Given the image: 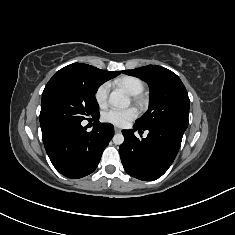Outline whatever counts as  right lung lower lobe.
Masks as SVG:
<instances>
[{"instance_id":"98d812e1","label":"right lung lower lobe","mask_w":235,"mask_h":235,"mask_svg":"<svg viewBox=\"0 0 235 235\" xmlns=\"http://www.w3.org/2000/svg\"><path fill=\"white\" fill-rule=\"evenodd\" d=\"M95 117L91 132L81 122H40L43 143L53 166L62 175L77 179L91 174L114 135V127Z\"/></svg>"}]
</instances>
